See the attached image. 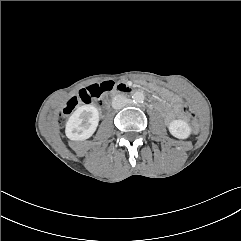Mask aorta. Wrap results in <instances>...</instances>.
Masks as SVG:
<instances>
[{
	"label": "aorta",
	"mask_w": 241,
	"mask_h": 241,
	"mask_svg": "<svg viewBox=\"0 0 241 241\" xmlns=\"http://www.w3.org/2000/svg\"><path fill=\"white\" fill-rule=\"evenodd\" d=\"M132 99L134 102L136 103H141L144 101L145 99V95L143 92H140V91H136L133 96H132Z\"/></svg>",
	"instance_id": "aorta-1"
}]
</instances>
